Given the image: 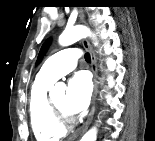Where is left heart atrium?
Masks as SVG:
<instances>
[{
  "mask_svg": "<svg viewBox=\"0 0 155 141\" xmlns=\"http://www.w3.org/2000/svg\"><path fill=\"white\" fill-rule=\"evenodd\" d=\"M91 82L84 72L77 73L70 79L65 95V108L69 114H79L89 105Z\"/></svg>",
  "mask_w": 155,
  "mask_h": 141,
  "instance_id": "obj_1",
  "label": "left heart atrium"
}]
</instances>
